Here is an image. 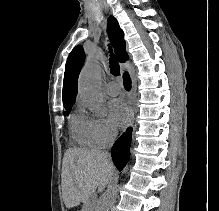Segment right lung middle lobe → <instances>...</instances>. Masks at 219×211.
<instances>
[{
  "label": "right lung middle lobe",
  "mask_w": 219,
  "mask_h": 211,
  "mask_svg": "<svg viewBox=\"0 0 219 211\" xmlns=\"http://www.w3.org/2000/svg\"><path fill=\"white\" fill-rule=\"evenodd\" d=\"M72 105H73V103H72V104H66V105H64L65 110H66V111L64 112V115H67V114L70 113L71 108H72Z\"/></svg>",
  "instance_id": "obj_1"
}]
</instances>
